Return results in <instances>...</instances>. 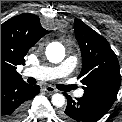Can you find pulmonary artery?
Returning a JSON list of instances; mask_svg holds the SVG:
<instances>
[{
    "label": "pulmonary artery",
    "instance_id": "obj_1",
    "mask_svg": "<svg viewBox=\"0 0 122 122\" xmlns=\"http://www.w3.org/2000/svg\"><path fill=\"white\" fill-rule=\"evenodd\" d=\"M77 64L76 56L67 57L57 66H36L25 69L24 74L40 80H52L55 78H64L68 76ZM76 96L82 97L83 91L76 92Z\"/></svg>",
    "mask_w": 122,
    "mask_h": 122
}]
</instances>
